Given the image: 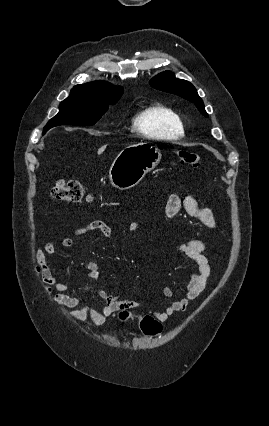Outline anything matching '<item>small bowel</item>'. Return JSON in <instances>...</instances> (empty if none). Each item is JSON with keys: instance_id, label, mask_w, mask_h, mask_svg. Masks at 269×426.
Masks as SVG:
<instances>
[{"instance_id": "c3829d8e", "label": "small bowel", "mask_w": 269, "mask_h": 426, "mask_svg": "<svg viewBox=\"0 0 269 426\" xmlns=\"http://www.w3.org/2000/svg\"><path fill=\"white\" fill-rule=\"evenodd\" d=\"M184 210L190 217L196 219L203 225L216 229L218 224L214 212L209 208L200 207L197 200L191 195L183 197L173 194L168 198L165 212L170 220L178 217L180 212ZM139 227L137 223L130 226V230L134 231ZM92 231H99L103 238L110 239L113 236L114 229L112 226L107 225L102 221H93L88 225L78 228L74 231L73 235L68 236L62 240V246L69 248L74 245L77 237L88 234ZM176 250L184 254L195 263V267L189 270L188 281L185 285V296L172 301L164 310L151 312V315L160 322L168 321L173 315L185 311L190 303L197 299L204 291L207 281L211 275V266L205 256L208 249V242L201 239H186L178 244ZM55 252L53 243L48 242L42 248L38 249L36 253V273L45 284V291L53 294V301L64 308L81 309L77 312V316L86 317L93 321L95 324H103L106 319L115 311L123 309H135L141 307V303L133 299H124L120 296L112 295L105 290L98 291L99 297L103 301L100 309L92 305L85 304L84 299L79 296L68 295L66 292L69 286L66 283L60 282L52 273L49 265V259ZM85 276L94 281L100 278L99 266L95 261H90L86 264ZM165 297H170L172 291L166 287L163 290ZM141 319V315L135 316Z\"/></svg>"}]
</instances>
